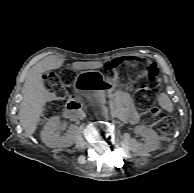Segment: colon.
Returning a JSON list of instances; mask_svg holds the SVG:
<instances>
[{"label": "colon", "instance_id": "1", "mask_svg": "<svg viewBox=\"0 0 194 193\" xmlns=\"http://www.w3.org/2000/svg\"><path fill=\"white\" fill-rule=\"evenodd\" d=\"M108 73H117L124 80L139 78L146 82L142 86L137 101L142 109L148 114V120L158 128L162 139L170 138L174 129L171 119L164 116L161 110L152 104L153 94L158 83V68L154 64L140 66V62L134 58H117L105 64ZM72 73L69 70L62 71L59 75L49 73L46 76L45 85L47 89L49 104L48 112L60 110L65 102V86L71 81Z\"/></svg>", "mask_w": 194, "mask_h": 193}]
</instances>
